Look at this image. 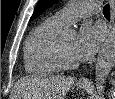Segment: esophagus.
Instances as JSON below:
<instances>
[{
  "label": "esophagus",
  "instance_id": "1",
  "mask_svg": "<svg viewBox=\"0 0 115 99\" xmlns=\"http://www.w3.org/2000/svg\"><path fill=\"white\" fill-rule=\"evenodd\" d=\"M110 3V13H111V17H110V22H109V31L111 30L113 24H114V19H115V2L114 0H109ZM78 82L80 84H88L89 83V79L87 76H83L81 77Z\"/></svg>",
  "mask_w": 115,
  "mask_h": 99
}]
</instances>
